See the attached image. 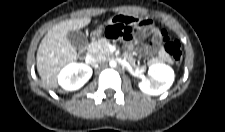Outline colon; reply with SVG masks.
<instances>
[{"label": "colon", "mask_w": 225, "mask_h": 132, "mask_svg": "<svg viewBox=\"0 0 225 132\" xmlns=\"http://www.w3.org/2000/svg\"><path fill=\"white\" fill-rule=\"evenodd\" d=\"M135 29L132 27H121L118 25H111L106 29V33L110 38L113 39H122L129 41L135 36ZM164 36V49L170 56V59L175 64L179 65L182 61V50L181 45L178 40H171L169 39L165 32H161Z\"/></svg>", "instance_id": "colon-1"}]
</instances>
